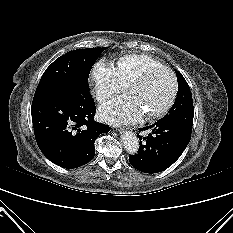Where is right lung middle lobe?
Wrapping results in <instances>:
<instances>
[{
	"label": "right lung middle lobe",
	"mask_w": 233,
	"mask_h": 233,
	"mask_svg": "<svg viewBox=\"0 0 233 233\" xmlns=\"http://www.w3.org/2000/svg\"><path fill=\"white\" fill-rule=\"evenodd\" d=\"M105 49H78L57 58L42 75L33 102L75 92L88 93L90 70Z\"/></svg>",
	"instance_id": "dd1d6c3e"
}]
</instances>
